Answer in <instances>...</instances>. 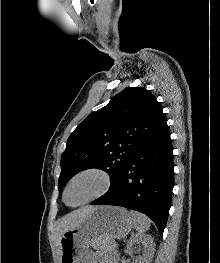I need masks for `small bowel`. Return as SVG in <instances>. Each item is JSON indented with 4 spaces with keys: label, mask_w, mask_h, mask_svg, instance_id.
I'll return each mask as SVG.
<instances>
[{
    "label": "small bowel",
    "mask_w": 220,
    "mask_h": 263,
    "mask_svg": "<svg viewBox=\"0 0 220 263\" xmlns=\"http://www.w3.org/2000/svg\"><path fill=\"white\" fill-rule=\"evenodd\" d=\"M83 263H104L102 260H100L96 255H94L93 253H89Z\"/></svg>",
    "instance_id": "obj_1"
}]
</instances>
